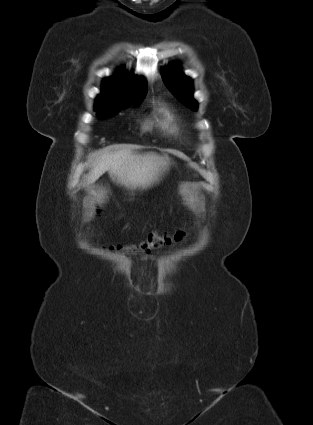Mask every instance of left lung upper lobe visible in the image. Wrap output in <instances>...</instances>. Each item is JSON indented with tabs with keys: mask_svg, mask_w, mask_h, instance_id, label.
<instances>
[{
	"mask_svg": "<svg viewBox=\"0 0 313 425\" xmlns=\"http://www.w3.org/2000/svg\"><path fill=\"white\" fill-rule=\"evenodd\" d=\"M162 78L166 86L181 102L190 109L197 110V102L193 99L192 80L181 72L177 62H173L163 70Z\"/></svg>",
	"mask_w": 313,
	"mask_h": 425,
	"instance_id": "5c2ea615",
	"label": "left lung upper lobe"
}]
</instances>
